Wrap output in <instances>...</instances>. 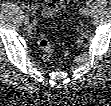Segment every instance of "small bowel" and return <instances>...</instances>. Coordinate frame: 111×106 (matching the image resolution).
Wrapping results in <instances>:
<instances>
[{
	"mask_svg": "<svg viewBox=\"0 0 111 106\" xmlns=\"http://www.w3.org/2000/svg\"><path fill=\"white\" fill-rule=\"evenodd\" d=\"M68 0H59V1H48L43 7L42 15L44 17H53L55 16L60 10L65 8L68 5Z\"/></svg>",
	"mask_w": 111,
	"mask_h": 106,
	"instance_id": "obj_1",
	"label": "small bowel"
}]
</instances>
